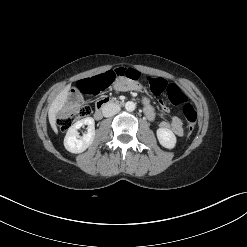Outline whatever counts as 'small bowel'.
<instances>
[{
	"label": "small bowel",
	"instance_id": "small-bowel-1",
	"mask_svg": "<svg viewBox=\"0 0 247 247\" xmlns=\"http://www.w3.org/2000/svg\"><path fill=\"white\" fill-rule=\"evenodd\" d=\"M114 88L117 91H123V92H127V91L141 92V90H142L141 85L137 81L129 79V78H126V77L119 78L115 82ZM145 105H146V112H147L148 117L151 120H153L154 119L153 110L150 108V106L148 105L147 101H145ZM163 109L166 110V108L164 106H163ZM159 126L162 129L171 130L177 136H182L183 135L182 121L176 115L172 116L169 120H165V121L160 122Z\"/></svg>",
	"mask_w": 247,
	"mask_h": 247
}]
</instances>
